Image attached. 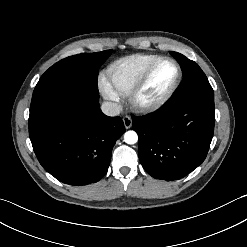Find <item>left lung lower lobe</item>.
Instances as JSON below:
<instances>
[{
    "label": "left lung lower lobe",
    "mask_w": 247,
    "mask_h": 247,
    "mask_svg": "<svg viewBox=\"0 0 247 247\" xmlns=\"http://www.w3.org/2000/svg\"><path fill=\"white\" fill-rule=\"evenodd\" d=\"M215 124L214 98H197L168 105L142 117L132 128L139 136L138 156L156 179L178 180L205 160Z\"/></svg>",
    "instance_id": "1"
}]
</instances>
